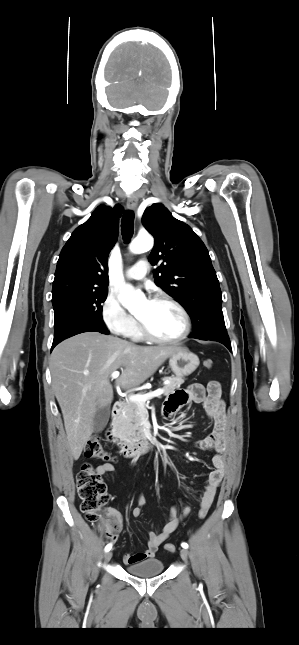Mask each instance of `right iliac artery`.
I'll list each match as a JSON object with an SVG mask.
<instances>
[{
	"mask_svg": "<svg viewBox=\"0 0 299 645\" xmlns=\"http://www.w3.org/2000/svg\"><path fill=\"white\" fill-rule=\"evenodd\" d=\"M112 548V544H108L105 547V551L108 552Z\"/></svg>",
	"mask_w": 299,
	"mask_h": 645,
	"instance_id": "right-iliac-artery-1",
	"label": "right iliac artery"
}]
</instances>
